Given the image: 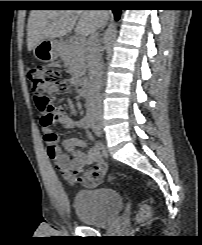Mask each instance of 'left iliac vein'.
I'll list each match as a JSON object with an SVG mask.
<instances>
[{"label":"left iliac vein","mask_w":202,"mask_h":245,"mask_svg":"<svg viewBox=\"0 0 202 245\" xmlns=\"http://www.w3.org/2000/svg\"><path fill=\"white\" fill-rule=\"evenodd\" d=\"M92 130L97 136H101L100 127H96L94 123L92 124Z\"/></svg>","instance_id":"4c4485c4"}]
</instances>
